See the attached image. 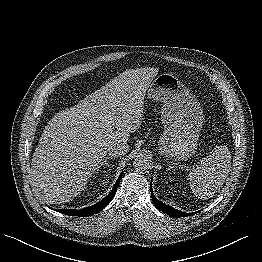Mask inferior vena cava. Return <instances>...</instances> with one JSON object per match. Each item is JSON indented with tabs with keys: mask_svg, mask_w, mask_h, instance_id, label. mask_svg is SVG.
<instances>
[{
	"mask_svg": "<svg viewBox=\"0 0 262 262\" xmlns=\"http://www.w3.org/2000/svg\"><path fill=\"white\" fill-rule=\"evenodd\" d=\"M129 150V145L126 142L114 143L108 147V153L112 157H121Z\"/></svg>",
	"mask_w": 262,
	"mask_h": 262,
	"instance_id": "inferior-vena-cava-1",
	"label": "inferior vena cava"
}]
</instances>
